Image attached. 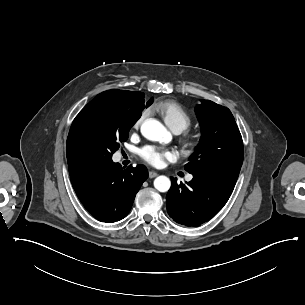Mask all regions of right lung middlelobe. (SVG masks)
Here are the masks:
<instances>
[{
    "mask_svg": "<svg viewBox=\"0 0 305 305\" xmlns=\"http://www.w3.org/2000/svg\"><path fill=\"white\" fill-rule=\"evenodd\" d=\"M147 103V107L150 105ZM144 107L135 112H119L100 117L85 107L76 116L70 131V158L78 165L103 166L112 162V155L129 130L140 118Z\"/></svg>",
    "mask_w": 305,
    "mask_h": 305,
    "instance_id": "obj_1",
    "label": "right lung middle lobe"
}]
</instances>
